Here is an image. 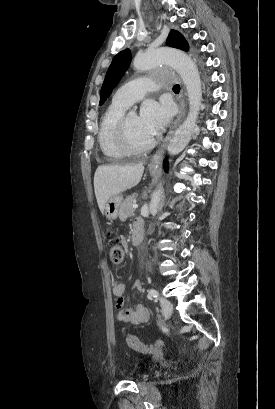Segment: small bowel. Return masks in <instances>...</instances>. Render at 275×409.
<instances>
[{"mask_svg": "<svg viewBox=\"0 0 275 409\" xmlns=\"http://www.w3.org/2000/svg\"><path fill=\"white\" fill-rule=\"evenodd\" d=\"M142 289V283L137 281L131 287L132 292H139ZM114 294L118 298V303L122 304L127 293V288L124 284L116 282L113 287ZM118 318L122 322L133 324H144L149 320V311L143 304H136L132 307L123 308L118 313Z\"/></svg>", "mask_w": 275, "mask_h": 409, "instance_id": "1", "label": "small bowel"}]
</instances>
